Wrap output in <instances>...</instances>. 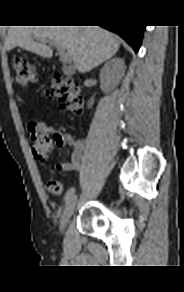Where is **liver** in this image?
Returning <instances> with one entry per match:
<instances>
[{
  "instance_id": "liver-1",
  "label": "liver",
  "mask_w": 184,
  "mask_h": 292,
  "mask_svg": "<svg viewBox=\"0 0 184 292\" xmlns=\"http://www.w3.org/2000/svg\"><path fill=\"white\" fill-rule=\"evenodd\" d=\"M33 38L63 47L80 73L88 72L111 58L120 46L113 33L99 26H12L8 31L7 50L20 46L42 57L51 58L52 49Z\"/></svg>"
}]
</instances>
